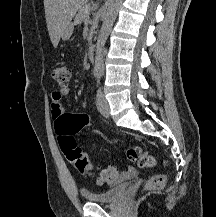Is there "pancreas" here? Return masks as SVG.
<instances>
[{
  "label": "pancreas",
  "mask_w": 216,
  "mask_h": 217,
  "mask_svg": "<svg viewBox=\"0 0 216 217\" xmlns=\"http://www.w3.org/2000/svg\"><path fill=\"white\" fill-rule=\"evenodd\" d=\"M87 16H89V8L87 7V5H83L76 14L74 21L77 24H80L82 22L87 23Z\"/></svg>",
  "instance_id": "1"
}]
</instances>
